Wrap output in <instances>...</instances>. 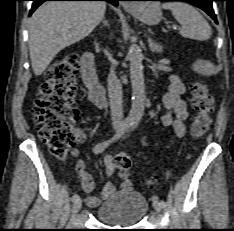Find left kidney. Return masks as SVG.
Returning <instances> with one entry per match:
<instances>
[{"instance_id": "obj_1", "label": "left kidney", "mask_w": 234, "mask_h": 231, "mask_svg": "<svg viewBox=\"0 0 234 231\" xmlns=\"http://www.w3.org/2000/svg\"><path fill=\"white\" fill-rule=\"evenodd\" d=\"M192 69L193 71L206 76L216 74L219 71L218 67L214 66L211 62L204 60L195 61L192 65Z\"/></svg>"}]
</instances>
